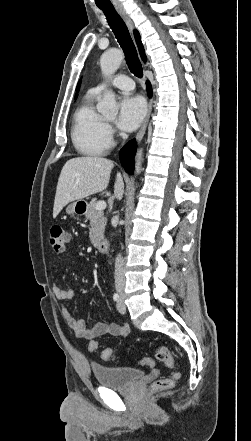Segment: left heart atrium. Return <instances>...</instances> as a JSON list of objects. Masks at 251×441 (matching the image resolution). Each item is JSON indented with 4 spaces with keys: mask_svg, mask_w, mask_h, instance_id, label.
<instances>
[{
    "mask_svg": "<svg viewBox=\"0 0 251 441\" xmlns=\"http://www.w3.org/2000/svg\"><path fill=\"white\" fill-rule=\"evenodd\" d=\"M145 114L146 104L141 97H125L120 103L117 125L121 130L133 131L141 124Z\"/></svg>",
    "mask_w": 251,
    "mask_h": 441,
    "instance_id": "1",
    "label": "left heart atrium"
}]
</instances>
